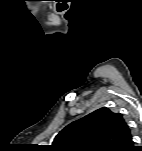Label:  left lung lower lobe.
Returning <instances> with one entry per match:
<instances>
[{
  "instance_id": "1",
  "label": "left lung lower lobe",
  "mask_w": 142,
  "mask_h": 151,
  "mask_svg": "<svg viewBox=\"0 0 142 151\" xmlns=\"http://www.w3.org/2000/svg\"><path fill=\"white\" fill-rule=\"evenodd\" d=\"M128 151H136V148H134L133 144H132V146L129 148Z\"/></svg>"
}]
</instances>
